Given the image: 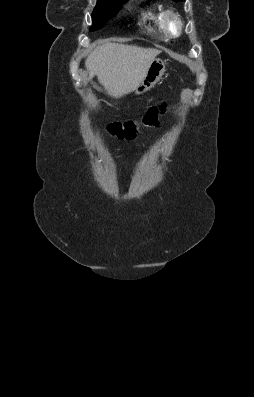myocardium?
Masks as SVG:
<instances>
[{
	"label": "myocardium",
	"instance_id": "obj_1",
	"mask_svg": "<svg viewBox=\"0 0 254 397\" xmlns=\"http://www.w3.org/2000/svg\"><path fill=\"white\" fill-rule=\"evenodd\" d=\"M172 22L175 24V28H172ZM162 26L169 36L176 37L182 32L184 22L179 13L172 9H168L162 14Z\"/></svg>",
	"mask_w": 254,
	"mask_h": 397
}]
</instances>
